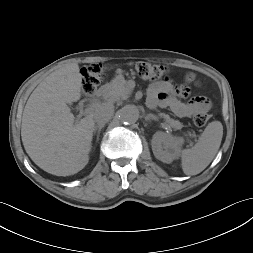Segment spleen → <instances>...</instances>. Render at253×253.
<instances>
[{
  "label": "spleen",
  "mask_w": 253,
  "mask_h": 253,
  "mask_svg": "<svg viewBox=\"0 0 253 253\" xmlns=\"http://www.w3.org/2000/svg\"><path fill=\"white\" fill-rule=\"evenodd\" d=\"M223 137V126L219 121L207 125L198 142L191 149L181 151L182 170L186 175L201 173L214 159Z\"/></svg>",
  "instance_id": "3e777b00"
}]
</instances>
